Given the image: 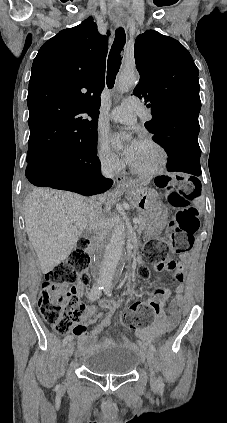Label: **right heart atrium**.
Returning <instances> with one entry per match:
<instances>
[{
  "instance_id": "1",
  "label": "right heart atrium",
  "mask_w": 227,
  "mask_h": 423,
  "mask_svg": "<svg viewBox=\"0 0 227 423\" xmlns=\"http://www.w3.org/2000/svg\"><path fill=\"white\" fill-rule=\"evenodd\" d=\"M97 159L100 166L109 173L118 174L124 168L122 160L111 149L107 139L103 136H99L97 140Z\"/></svg>"
}]
</instances>
